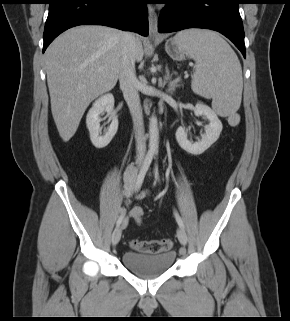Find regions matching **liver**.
<instances>
[{"instance_id":"obj_1","label":"liver","mask_w":290,"mask_h":321,"mask_svg":"<svg viewBox=\"0 0 290 321\" xmlns=\"http://www.w3.org/2000/svg\"><path fill=\"white\" fill-rule=\"evenodd\" d=\"M124 32L101 25H81L59 35L47 48L45 66L51 111L60 137L69 141L89 104L116 85ZM136 37L135 60L143 59Z\"/></svg>"}]
</instances>
